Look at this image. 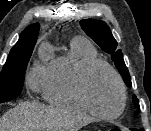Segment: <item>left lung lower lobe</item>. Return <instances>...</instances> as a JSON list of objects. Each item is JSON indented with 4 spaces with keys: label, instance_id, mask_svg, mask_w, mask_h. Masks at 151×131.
<instances>
[{
    "label": "left lung lower lobe",
    "instance_id": "1",
    "mask_svg": "<svg viewBox=\"0 0 151 131\" xmlns=\"http://www.w3.org/2000/svg\"><path fill=\"white\" fill-rule=\"evenodd\" d=\"M131 130H132V131H143L142 129L136 130V129H134V128H131Z\"/></svg>",
    "mask_w": 151,
    "mask_h": 131
}]
</instances>
